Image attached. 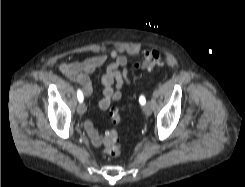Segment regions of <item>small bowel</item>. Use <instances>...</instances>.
<instances>
[{
    "label": "small bowel",
    "mask_w": 245,
    "mask_h": 187,
    "mask_svg": "<svg viewBox=\"0 0 245 187\" xmlns=\"http://www.w3.org/2000/svg\"><path fill=\"white\" fill-rule=\"evenodd\" d=\"M108 59L111 62L101 77L103 96L98 102V107L102 110L108 109L113 102L119 101L123 97L121 89L124 86H134V82L129 75L130 58L117 50H112L108 54H98L80 62L61 63L59 66L61 73L70 81L80 84L84 95L88 97L93 91L89 75L102 67ZM84 127L92 144L96 147L101 146L103 137L95 129L93 121L86 120Z\"/></svg>",
    "instance_id": "c3829d8e"
}]
</instances>
